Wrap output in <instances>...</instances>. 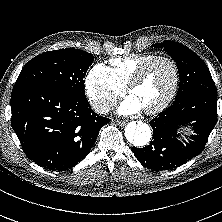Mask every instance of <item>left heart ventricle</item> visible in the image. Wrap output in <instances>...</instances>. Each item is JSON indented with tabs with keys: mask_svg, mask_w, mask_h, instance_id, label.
<instances>
[{
	"mask_svg": "<svg viewBox=\"0 0 222 222\" xmlns=\"http://www.w3.org/2000/svg\"><path fill=\"white\" fill-rule=\"evenodd\" d=\"M173 69L164 61H158L147 70L142 81L131 91L144 109L160 104L169 94L173 84Z\"/></svg>",
	"mask_w": 222,
	"mask_h": 222,
	"instance_id": "obj_1",
	"label": "left heart ventricle"
}]
</instances>
